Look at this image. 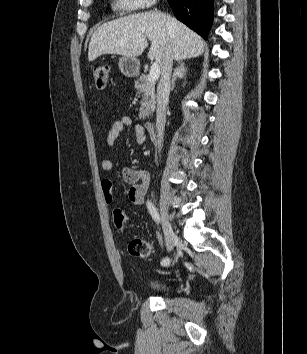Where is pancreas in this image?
I'll use <instances>...</instances> for the list:
<instances>
[{
    "instance_id": "1",
    "label": "pancreas",
    "mask_w": 307,
    "mask_h": 354,
    "mask_svg": "<svg viewBox=\"0 0 307 354\" xmlns=\"http://www.w3.org/2000/svg\"><path fill=\"white\" fill-rule=\"evenodd\" d=\"M135 89L141 98L139 119H145L154 112L155 109V83L148 80L147 75L139 77L135 83Z\"/></svg>"
}]
</instances>
